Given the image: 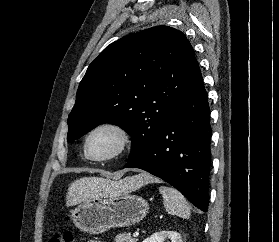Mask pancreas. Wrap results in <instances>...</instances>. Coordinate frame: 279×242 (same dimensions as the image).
Segmentation results:
<instances>
[{
	"label": "pancreas",
	"mask_w": 279,
	"mask_h": 242,
	"mask_svg": "<svg viewBox=\"0 0 279 242\" xmlns=\"http://www.w3.org/2000/svg\"><path fill=\"white\" fill-rule=\"evenodd\" d=\"M115 242H137V239L132 238L128 233H124L116 235Z\"/></svg>",
	"instance_id": "obj_1"
}]
</instances>
